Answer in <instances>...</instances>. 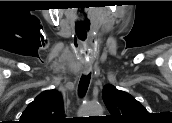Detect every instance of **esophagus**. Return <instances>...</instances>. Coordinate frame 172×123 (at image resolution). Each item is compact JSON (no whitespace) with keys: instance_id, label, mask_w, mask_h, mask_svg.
<instances>
[{"instance_id":"esophagus-1","label":"esophagus","mask_w":172,"mask_h":123,"mask_svg":"<svg viewBox=\"0 0 172 123\" xmlns=\"http://www.w3.org/2000/svg\"><path fill=\"white\" fill-rule=\"evenodd\" d=\"M84 73L87 75L91 71V66L90 65H85L83 68Z\"/></svg>"}]
</instances>
